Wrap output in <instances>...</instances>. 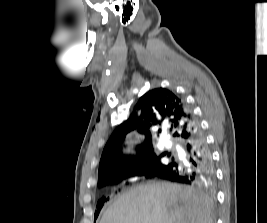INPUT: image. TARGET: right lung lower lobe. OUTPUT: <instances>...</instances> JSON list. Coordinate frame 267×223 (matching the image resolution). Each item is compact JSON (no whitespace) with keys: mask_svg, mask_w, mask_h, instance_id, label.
<instances>
[{"mask_svg":"<svg viewBox=\"0 0 267 223\" xmlns=\"http://www.w3.org/2000/svg\"><path fill=\"white\" fill-rule=\"evenodd\" d=\"M185 161H174L162 169L156 176L188 185L211 187L215 181L212 155L205 137L197 124L193 137L184 142ZM124 178H118V183ZM105 186V185H103Z\"/></svg>","mask_w":267,"mask_h":223,"instance_id":"1","label":"right lung lower lobe"}]
</instances>
